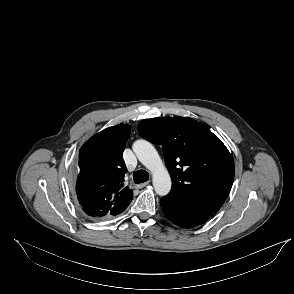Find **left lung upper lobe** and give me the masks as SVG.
Returning a JSON list of instances; mask_svg holds the SVG:
<instances>
[{"instance_id": "left-lung-upper-lobe-1", "label": "left lung upper lobe", "mask_w": 294, "mask_h": 294, "mask_svg": "<svg viewBox=\"0 0 294 294\" xmlns=\"http://www.w3.org/2000/svg\"><path fill=\"white\" fill-rule=\"evenodd\" d=\"M138 132L163 146L172 179L168 198L208 214L220 209L231 190L235 165L208 126L188 117L153 118L142 120Z\"/></svg>"}]
</instances>
